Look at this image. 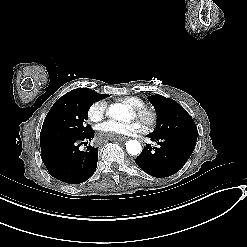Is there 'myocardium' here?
Masks as SVG:
<instances>
[{"label": "myocardium", "instance_id": "obj_1", "mask_svg": "<svg viewBox=\"0 0 247 247\" xmlns=\"http://www.w3.org/2000/svg\"><path fill=\"white\" fill-rule=\"evenodd\" d=\"M135 114H137L140 122L143 125L144 133H152L157 125L158 115L154 108L142 106L137 110H134Z\"/></svg>", "mask_w": 247, "mask_h": 247}]
</instances>
